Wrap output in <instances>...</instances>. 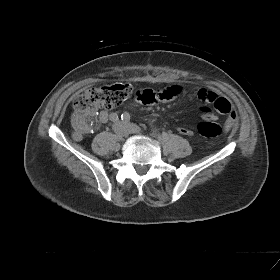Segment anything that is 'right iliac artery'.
<instances>
[{
    "instance_id": "82829eb1",
    "label": "right iliac artery",
    "mask_w": 280,
    "mask_h": 280,
    "mask_svg": "<svg viewBox=\"0 0 280 280\" xmlns=\"http://www.w3.org/2000/svg\"><path fill=\"white\" fill-rule=\"evenodd\" d=\"M110 120L116 122L118 120V115L116 113H111Z\"/></svg>"
}]
</instances>
